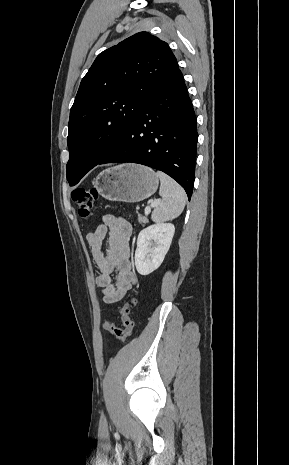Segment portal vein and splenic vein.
Listing matches in <instances>:
<instances>
[{
  "label": "portal vein and splenic vein",
  "mask_w": 289,
  "mask_h": 465,
  "mask_svg": "<svg viewBox=\"0 0 289 465\" xmlns=\"http://www.w3.org/2000/svg\"><path fill=\"white\" fill-rule=\"evenodd\" d=\"M158 203H159L158 200L151 202V205H150V206H147V207L145 208V212H146V213H149L150 210H151V208L156 207Z\"/></svg>",
  "instance_id": "1"
}]
</instances>
